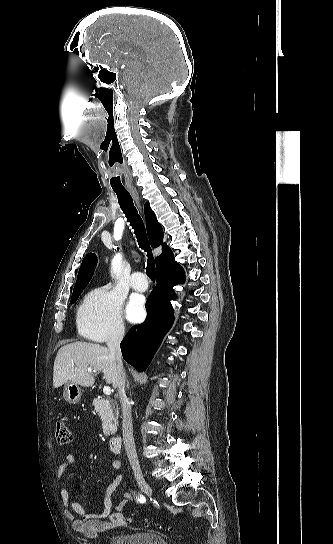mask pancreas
<instances>
[{
  "label": "pancreas",
  "instance_id": "1",
  "mask_svg": "<svg viewBox=\"0 0 333 544\" xmlns=\"http://www.w3.org/2000/svg\"><path fill=\"white\" fill-rule=\"evenodd\" d=\"M93 405L102 420L104 435L109 436L114 433L117 428V419L119 415L116 404L105 398H95L93 400Z\"/></svg>",
  "mask_w": 333,
  "mask_h": 544
}]
</instances>
